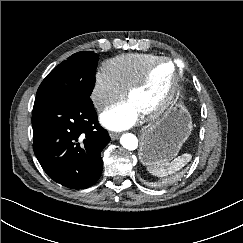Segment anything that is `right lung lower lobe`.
I'll return each mask as SVG.
<instances>
[{"mask_svg":"<svg viewBox=\"0 0 243 243\" xmlns=\"http://www.w3.org/2000/svg\"><path fill=\"white\" fill-rule=\"evenodd\" d=\"M32 127L34 153L51 179L71 189H85L99 179L101 151L110 137L91 99L75 103L37 96Z\"/></svg>","mask_w":243,"mask_h":243,"instance_id":"1","label":"right lung lower lobe"}]
</instances>
